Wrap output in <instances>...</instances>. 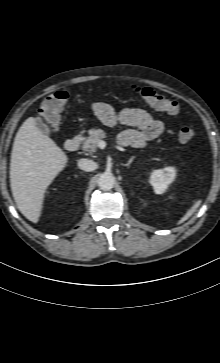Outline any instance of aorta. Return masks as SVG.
Instances as JSON below:
<instances>
[{
	"label": "aorta",
	"mask_w": 220,
	"mask_h": 363,
	"mask_svg": "<svg viewBox=\"0 0 220 363\" xmlns=\"http://www.w3.org/2000/svg\"><path fill=\"white\" fill-rule=\"evenodd\" d=\"M115 184V178L111 173L105 172L98 179V186L101 190H110Z\"/></svg>",
	"instance_id": "obj_1"
}]
</instances>
